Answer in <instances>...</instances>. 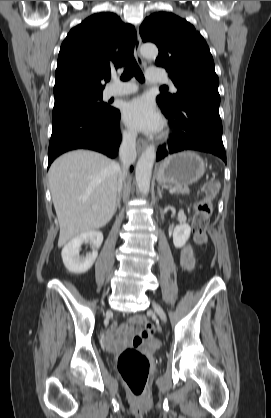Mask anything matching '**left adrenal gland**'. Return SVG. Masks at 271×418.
I'll return each mask as SVG.
<instances>
[{"label":"left adrenal gland","instance_id":"left-adrenal-gland-1","mask_svg":"<svg viewBox=\"0 0 271 418\" xmlns=\"http://www.w3.org/2000/svg\"><path fill=\"white\" fill-rule=\"evenodd\" d=\"M157 190H158L159 198L162 199V192H163V190L160 189L159 186L157 187Z\"/></svg>","mask_w":271,"mask_h":418}]
</instances>
